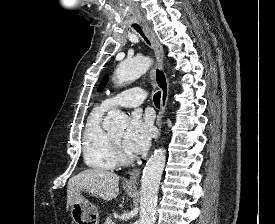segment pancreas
<instances>
[{
	"mask_svg": "<svg viewBox=\"0 0 275 224\" xmlns=\"http://www.w3.org/2000/svg\"><path fill=\"white\" fill-rule=\"evenodd\" d=\"M104 224H116L111 216H108L104 222Z\"/></svg>",
	"mask_w": 275,
	"mask_h": 224,
	"instance_id": "obj_1",
	"label": "pancreas"
}]
</instances>
